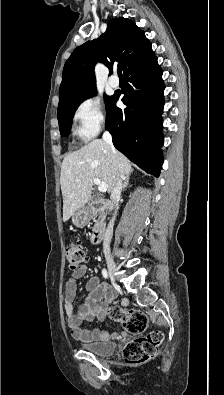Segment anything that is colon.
Listing matches in <instances>:
<instances>
[{"instance_id":"1","label":"colon","mask_w":224,"mask_h":395,"mask_svg":"<svg viewBox=\"0 0 224 395\" xmlns=\"http://www.w3.org/2000/svg\"><path fill=\"white\" fill-rule=\"evenodd\" d=\"M65 256L71 269L78 268L85 258L83 248L79 243H70L66 247ZM109 315L114 321L120 323L127 332L138 335L123 346L122 355L127 363L143 364L158 355L164 339L163 334L158 330H153L147 335H142L147 328V317L142 311L112 307L109 310Z\"/></svg>"}]
</instances>
